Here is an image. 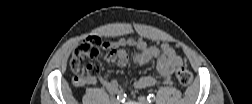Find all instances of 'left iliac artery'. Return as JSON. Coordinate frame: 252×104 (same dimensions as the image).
I'll use <instances>...</instances> for the list:
<instances>
[{"instance_id": "44dca946", "label": "left iliac artery", "mask_w": 252, "mask_h": 104, "mask_svg": "<svg viewBox=\"0 0 252 104\" xmlns=\"http://www.w3.org/2000/svg\"><path fill=\"white\" fill-rule=\"evenodd\" d=\"M147 100H148L149 103H151L152 101L155 100V96H154L153 94H149V95L147 96Z\"/></svg>"}]
</instances>
